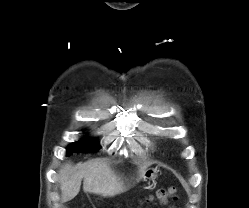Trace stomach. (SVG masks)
Returning a JSON list of instances; mask_svg holds the SVG:
<instances>
[{"label": "stomach", "mask_w": 249, "mask_h": 208, "mask_svg": "<svg viewBox=\"0 0 249 208\" xmlns=\"http://www.w3.org/2000/svg\"><path fill=\"white\" fill-rule=\"evenodd\" d=\"M157 176V169L156 168H147L141 175V178L145 182H150L154 180Z\"/></svg>", "instance_id": "stomach-1"}]
</instances>
